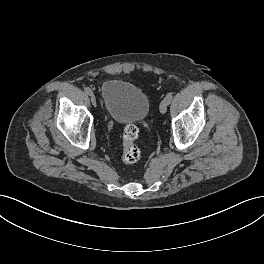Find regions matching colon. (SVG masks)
Here are the masks:
<instances>
[{"instance_id": "5ec220e1", "label": "colon", "mask_w": 264, "mask_h": 264, "mask_svg": "<svg viewBox=\"0 0 264 264\" xmlns=\"http://www.w3.org/2000/svg\"><path fill=\"white\" fill-rule=\"evenodd\" d=\"M138 128L134 124L125 127L122 135V161L127 165H134L141 160L142 152L136 145Z\"/></svg>"}]
</instances>
